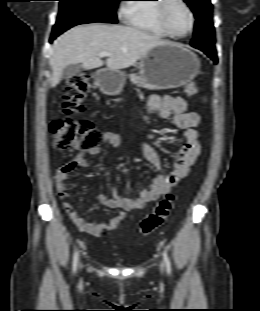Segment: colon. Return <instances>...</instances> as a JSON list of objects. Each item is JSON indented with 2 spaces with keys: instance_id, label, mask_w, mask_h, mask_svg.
I'll list each match as a JSON object with an SVG mask.
<instances>
[{
  "instance_id": "obj_1",
  "label": "colon",
  "mask_w": 260,
  "mask_h": 311,
  "mask_svg": "<svg viewBox=\"0 0 260 311\" xmlns=\"http://www.w3.org/2000/svg\"><path fill=\"white\" fill-rule=\"evenodd\" d=\"M88 87L89 76L86 72L75 74L68 80L63 91L62 104V112L66 117L53 121L50 126L52 145L55 150L75 149L85 153L99 146L102 133L93 122L88 119L75 120L71 117L84 111L83 99ZM185 93L189 97H194L198 93L197 85L193 82L188 83L185 86ZM175 202L174 194H166L154 210L140 222L139 233L143 239L167 221ZM107 233L106 229H100L97 234L105 237Z\"/></svg>"
}]
</instances>
